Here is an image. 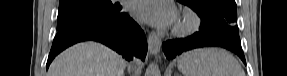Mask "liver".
<instances>
[{
  "label": "liver",
  "instance_id": "6515ba94",
  "mask_svg": "<svg viewBox=\"0 0 287 76\" xmlns=\"http://www.w3.org/2000/svg\"><path fill=\"white\" fill-rule=\"evenodd\" d=\"M125 60L97 42L78 43L59 54L48 76H124Z\"/></svg>",
  "mask_w": 287,
  "mask_h": 76
}]
</instances>
